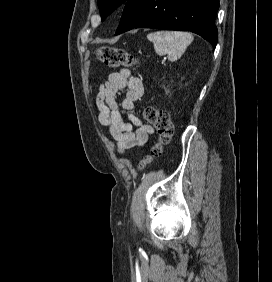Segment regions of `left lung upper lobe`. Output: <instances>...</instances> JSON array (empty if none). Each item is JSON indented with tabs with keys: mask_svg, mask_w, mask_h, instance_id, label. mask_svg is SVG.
<instances>
[{
	"mask_svg": "<svg viewBox=\"0 0 272 282\" xmlns=\"http://www.w3.org/2000/svg\"><path fill=\"white\" fill-rule=\"evenodd\" d=\"M128 0H98V7L103 21L109 14H111L120 5L126 3Z\"/></svg>",
	"mask_w": 272,
	"mask_h": 282,
	"instance_id": "left-lung-upper-lobe-1",
	"label": "left lung upper lobe"
}]
</instances>
